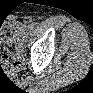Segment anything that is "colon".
Segmentation results:
<instances>
[{"instance_id": "colon-1", "label": "colon", "mask_w": 93, "mask_h": 93, "mask_svg": "<svg viewBox=\"0 0 93 93\" xmlns=\"http://www.w3.org/2000/svg\"><path fill=\"white\" fill-rule=\"evenodd\" d=\"M1 34H2V40L4 42V44L8 43V37L12 36L10 31L2 24L1 25ZM12 44V42H10ZM21 59L18 58L17 56L12 55L7 46L4 47V55H3V60H2V66L4 68H8V67H15L18 64L21 63Z\"/></svg>"}]
</instances>
